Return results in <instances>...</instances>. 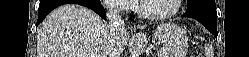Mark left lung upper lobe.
Listing matches in <instances>:
<instances>
[{
	"instance_id": "5c2ea615",
	"label": "left lung upper lobe",
	"mask_w": 249,
	"mask_h": 57,
	"mask_svg": "<svg viewBox=\"0 0 249 57\" xmlns=\"http://www.w3.org/2000/svg\"><path fill=\"white\" fill-rule=\"evenodd\" d=\"M203 1H213L214 2L215 0H187V3H188L187 8H191V7H193V6H195L198 3L203 2Z\"/></svg>"
}]
</instances>
